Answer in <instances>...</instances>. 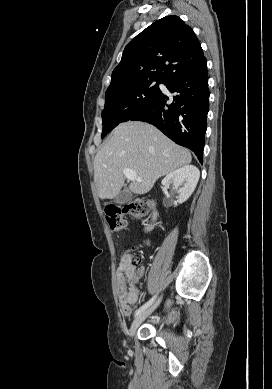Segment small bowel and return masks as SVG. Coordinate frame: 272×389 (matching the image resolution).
Returning a JSON list of instances; mask_svg holds the SVG:
<instances>
[{"label":"small bowel","mask_w":272,"mask_h":389,"mask_svg":"<svg viewBox=\"0 0 272 389\" xmlns=\"http://www.w3.org/2000/svg\"><path fill=\"white\" fill-rule=\"evenodd\" d=\"M144 273V267L132 265L128 255L122 258L117 268V293L122 313L126 317L131 314L132 306L138 301Z\"/></svg>","instance_id":"1"}]
</instances>
